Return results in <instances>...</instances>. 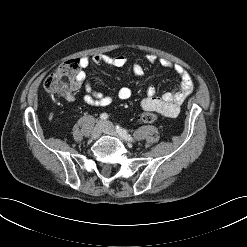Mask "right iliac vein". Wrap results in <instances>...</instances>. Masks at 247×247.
<instances>
[{
    "label": "right iliac vein",
    "mask_w": 247,
    "mask_h": 247,
    "mask_svg": "<svg viewBox=\"0 0 247 247\" xmlns=\"http://www.w3.org/2000/svg\"><path fill=\"white\" fill-rule=\"evenodd\" d=\"M102 130H103V124L102 122H98L95 125L94 129L92 130L91 137L93 139H97L98 137H100Z\"/></svg>",
    "instance_id": "1"
}]
</instances>
